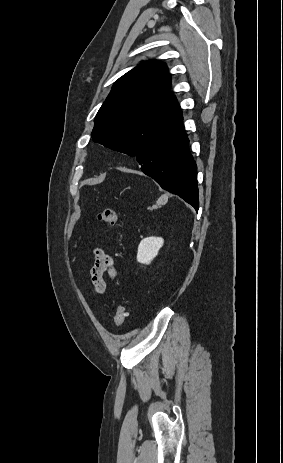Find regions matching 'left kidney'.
<instances>
[{
    "label": "left kidney",
    "instance_id": "1",
    "mask_svg": "<svg viewBox=\"0 0 283 463\" xmlns=\"http://www.w3.org/2000/svg\"><path fill=\"white\" fill-rule=\"evenodd\" d=\"M163 244L164 240L161 237H148L143 239L138 246L137 261L141 264H150L158 255Z\"/></svg>",
    "mask_w": 283,
    "mask_h": 463
}]
</instances>
